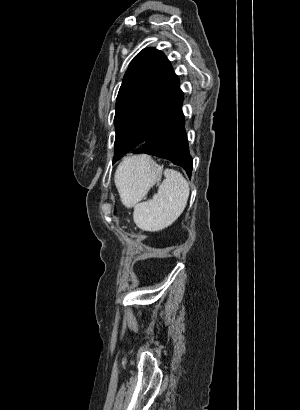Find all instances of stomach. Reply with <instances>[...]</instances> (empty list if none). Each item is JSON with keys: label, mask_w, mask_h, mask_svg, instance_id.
I'll return each instance as SVG.
<instances>
[{"label": "stomach", "mask_w": 300, "mask_h": 410, "mask_svg": "<svg viewBox=\"0 0 300 410\" xmlns=\"http://www.w3.org/2000/svg\"><path fill=\"white\" fill-rule=\"evenodd\" d=\"M136 158V168L128 173V187L121 197L122 202L128 207L140 201L162 177V167L150 157Z\"/></svg>", "instance_id": "1"}]
</instances>
